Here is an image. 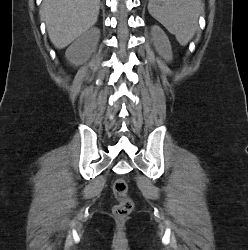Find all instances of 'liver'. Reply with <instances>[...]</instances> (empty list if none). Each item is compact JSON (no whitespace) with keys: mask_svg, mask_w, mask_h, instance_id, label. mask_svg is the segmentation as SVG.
Listing matches in <instances>:
<instances>
[{"mask_svg":"<svg viewBox=\"0 0 248 250\" xmlns=\"http://www.w3.org/2000/svg\"><path fill=\"white\" fill-rule=\"evenodd\" d=\"M100 0H43L41 16L58 49L67 47L98 19Z\"/></svg>","mask_w":248,"mask_h":250,"instance_id":"liver-1","label":"liver"}]
</instances>
